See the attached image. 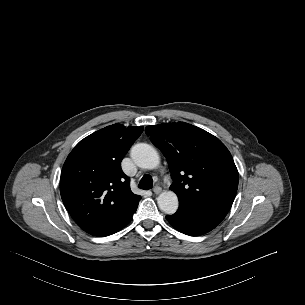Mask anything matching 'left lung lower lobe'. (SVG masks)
Listing matches in <instances>:
<instances>
[{
  "label": "left lung lower lobe",
  "mask_w": 305,
  "mask_h": 305,
  "mask_svg": "<svg viewBox=\"0 0 305 305\" xmlns=\"http://www.w3.org/2000/svg\"><path fill=\"white\" fill-rule=\"evenodd\" d=\"M231 206L228 203L193 205L180 202L176 213L166 218L178 231L199 236L214 229L225 218Z\"/></svg>",
  "instance_id": "0a47b994"
}]
</instances>
